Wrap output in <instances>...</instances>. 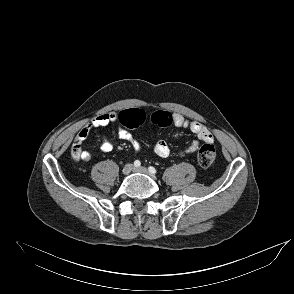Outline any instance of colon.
<instances>
[{"label": "colon", "instance_id": "colon-1", "mask_svg": "<svg viewBox=\"0 0 294 294\" xmlns=\"http://www.w3.org/2000/svg\"><path fill=\"white\" fill-rule=\"evenodd\" d=\"M147 115L144 110L140 108H132L121 111L119 113L120 123L130 129L137 128L145 123ZM151 122L158 127H165L173 123V114L168 111H156L151 115ZM81 147V139L77 137L73 144L72 153L74 157L79 156ZM216 158L215 147L210 144H204L199 149L197 160L201 167L207 168L213 164Z\"/></svg>", "mask_w": 294, "mask_h": 294}]
</instances>
